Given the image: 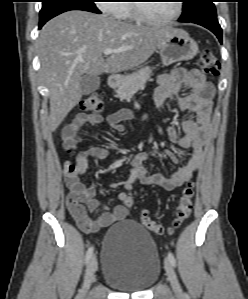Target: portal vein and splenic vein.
<instances>
[{
    "mask_svg": "<svg viewBox=\"0 0 248 299\" xmlns=\"http://www.w3.org/2000/svg\"><path fill=\"white\" fill-rule=\"evenodd\" d=\"M124 49L120 48V49H111V48H107L103 51L104 55H110L113 53H119L122 52Z\"/></svg>",
    "mask_w": 248,
    "mask_h": 299,
    "instance_id": "portal-vein-and-splenic-vein-1",
    "label": "portal vein and splenic vein"
}]
</instances>
